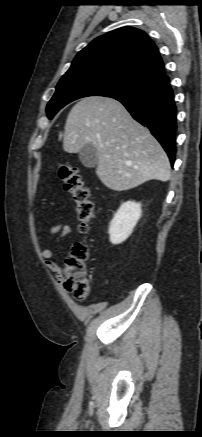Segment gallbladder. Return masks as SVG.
Instances as JSON below:
<instances>
[{
  "mask_svg": "<svg viewBox=\"0 0 202 437\" xmlns=\"http://www.w3.org/2000/svg\"><path fill=\"white\" fill-rule=\"evenodd\" d=\"M79 159L85 167L94 168L98 164L97 150L92 144H85L79 152Z\"/></svg>",
  "mask_w": 202,
  "mask_h": 437,
  "instance_id": "bac80fb5",
  "label": "gallbladder"
}]
</instances>
